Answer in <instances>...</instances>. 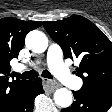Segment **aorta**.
Segmentation results:
<instances>
[{"label": "aorta", "instance_id": "aorta-1", "mask_svg": "<svg viewBox=\"0 0 112 112\" xmlns=\"http://www.w3.org/2000/svg\"><path fill=\"white\" fill-rule=\"evenodd\" d=\"M26 46L35 53H42L48 47L46 35L38 30L29 32L25 39ZM72 93L66 88H59L54 93V102L57 106L67 108L72 104Z\"/></svg>", "mask_w": 112, "mask_h": 112}]
</instances>
